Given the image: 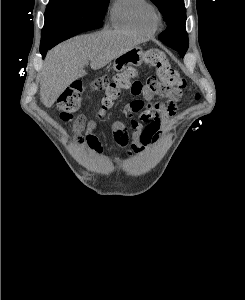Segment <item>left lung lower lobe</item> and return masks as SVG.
Wrapping results in <instances>:
<instances>
[{
  "instance_id": "obj_1",
  "label": "left lung lower lobe",
  "mask_w": 245,
  "mask_h": 300,
  "mask_svg": "<svg viewBox=\"0 0 245 300\" xmlns=\"http://www.w3.org/2000/svg\"><path fill=\"white\" fill-rule=\"evenodd\" d=\"M184 54H185V53H184V52H182V55H183V56H184Z\"/></svg>"
}]
</instances>
